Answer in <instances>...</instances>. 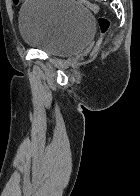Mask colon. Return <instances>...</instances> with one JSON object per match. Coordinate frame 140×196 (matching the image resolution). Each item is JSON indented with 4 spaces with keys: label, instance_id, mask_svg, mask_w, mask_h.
I'll return each mask as SVG.
<instances>
[{
    "label": "colon",
    "instance_id": "colon-1",
    "mask_svg": "<svg viewBox=\"0 0 140 196\" xmlns=\"http://www.w3.org/2000/svg\"><path fill=\"white\" fill-rule=\"evenodd\" d=\"M77 1L94 13H97L99 11L98 5L93 2H90L89 0H77ZM98 26H99L100 33L104 35L107 33V31L110 28V20L107 17L101 16L98 18ZM99 43L100 41L97 42V45H99Z\"/></svg>",
    "mask_w": 140,
    "mask_h": 196
}]
</instances>
